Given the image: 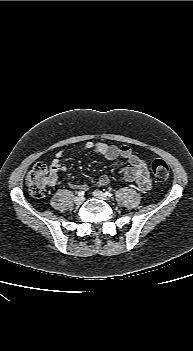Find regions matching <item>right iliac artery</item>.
Instances as JSON below:
<instances>
[{
  "label": "right iliac artery",
  "instance_id": "right-iliac-artery-1",
  "mask_svg": "<svg viewBox=\"0 0 193 351\" xmlns=\"http://www.w3.org/2000/svg\"><path fill=\"white\" fill-rule=\"evenodd\" d=\"M84 191L83 190H80L79 192H78V196H83L84 195Z\"/></svg>",
  "mask_w": 193,
  "mask_h": 351
}]
</instances>
